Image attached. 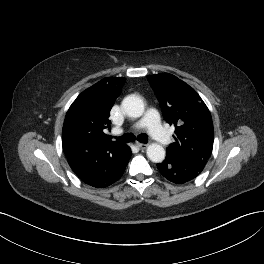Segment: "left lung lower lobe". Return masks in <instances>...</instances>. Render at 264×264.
<instances>
[{
  "instance_id": "left-lung-lower-lobe-1",
  "label": "left lung lower lobe",
  "mask_w": 264,
  "mask_h": 264,
  "mask_svg": "<svg viewBox=\"0 0 264 264\" xmlns=\"http://www.w3.org/2000/svg\"><path fill=\"white\" fill-rule=\"evenodd\" d=\"M205 164L199 162L182 161L172 154L166 153V159L157 164L161 174L176 184L186 183L197 177Z\"/></svg>"
}]
</instances>
